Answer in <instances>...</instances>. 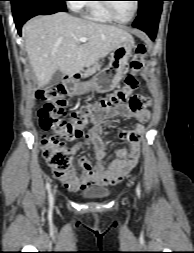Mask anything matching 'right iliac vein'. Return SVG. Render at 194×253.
Returning <instances> with one entry per match:
<instances>
[{
    "mask_svg": "<svg viewBox=\"0 0 194 253\" xmlns=\"http://www.w3.org/2000/svg\"><path fill=\"white\" fill-rule=\"evenodd\" d=\"M53 194H55V191H53ZM53 200H54V197H53Z\"/></svg>",
    "mask_w": 194,
    "mask_h": 253,
    "instance_id": "63e3f726",
    "label": "right iliac vein"
}]
</instances>
